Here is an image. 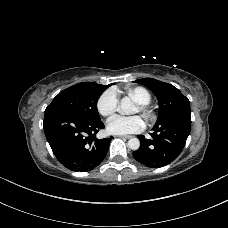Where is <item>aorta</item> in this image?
<instances>
[{
  "label": "aorta",
  "instance_id": "1",
  "mask_svg": "<svg viewBox=\"0 0 228 228\" xmlns=\"http://www.w3.org/2000/svg\"><path fill=\"white\" fill-rule=\"evenodd\" d=\"M132 108H133V103L132 101L125 97L121 100L120 102V105H119V112L121 114H125V115H128L132 112ZM128 147L131 149V150H137L139 149L140 147V141L138 138H131L129 141H128Z\"/></svg>",
  "mask_w": 228,
  "mask_h": 228
}]
</instances>
